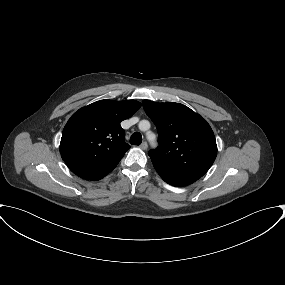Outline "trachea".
I'll return each instance as SVG.
<instances>
[{"label": "trachea", "instance_id": "3493384b", "mask_svg": "<svg viewBox=\"0 0 285 285\" xmlns=\"http://www.w3.org/2000/svg\"><path fill=\"white\" fill-rule=\"evenodd\" d=\"M142 142V135L139 132H134L130 138V144L140 145Z\"/></svg>", "mask_w": 285, "mask_h": 285}]
</instances>
